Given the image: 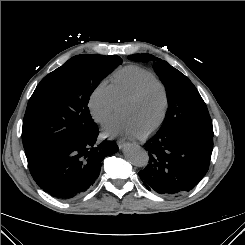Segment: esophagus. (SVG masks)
<instances>
[{
    "mask_svg": "<svg viewBox=\"0 0 245 245\" xmlns=\"http://www.w3.org/2000/svg\"><path fill=\"white\" fill-rule=\"evenodd\" d=\"M117 144H118V147L121 149V148H123L125 146L126 143L123 140H118Z\"/></svg>",
    "mask_w": 245,
    "mask_h": 245,
    "instance_id": "obj_1",
    "label": "esophagus"
}]
</instances>
